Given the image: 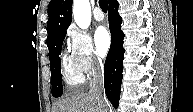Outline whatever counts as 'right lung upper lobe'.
Masks as SVG:
<instances>
[{
    "instance_id": "obj_1",
    "label": "right lung upper lobe",
    "mask_w": 193,
    "mask_h": 112,
    "mask_svg": "<svg viewBox=\"0 0 193 112\" xmlns=\"http://www.w3.org/2000/svg\"><path fill=\"white\" fill-rule=\"evenodd\" d=\"M115 0H109V4ZM73 0H51L48 6L47 46L61 33L65 32L72 21Z\"/></svg>"
}]
</instances>
